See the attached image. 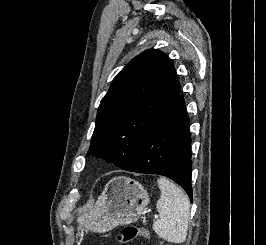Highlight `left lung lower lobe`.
I'll use <instances>...</instances> for the list:
<instances>
[{
	"label": "left lung lower lobe",
	"mask_w": 266,
	"mask_h": 245,
	"mask_svg": "<svg viewBox=\"0 0 266 245\" xmlns=\"http://www.w3.org/2000/svg\"><path fill=\"white\" fill-rule=\"evenodd\" d=\"M125 170L166 176L179 184L192 202L191 134L180 93L142 136L135 158Z\"/></svg>",
	"instance_id": "0a47b994"
}]
</instances>
